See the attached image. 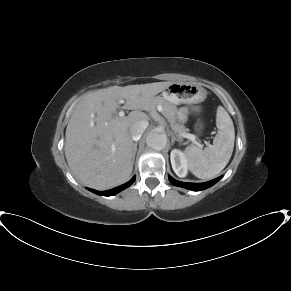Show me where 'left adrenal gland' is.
<instances>
[{
  "label": "left adrenal gland",
  "mask_w": 291,
  "mask_h": 291,
  "mask_svg": "<svg viewBox=\"0 0 291 291\" xmlns=\"http://www.w3.org/2000/svg\"><path fill=\"white\" fill-rule=\"evenodd\" d=\"M175 141L180 142V140H179L178 138H176V137L174 136V134H172V137H171V142H172V144H173Z\"/></svg>",
  "instance_id": "a2214340"
}]
</instances>
